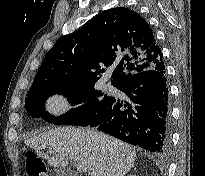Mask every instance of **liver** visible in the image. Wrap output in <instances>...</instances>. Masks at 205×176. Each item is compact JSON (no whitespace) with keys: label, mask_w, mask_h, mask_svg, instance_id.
Segmentation results:
<instances>
[{"label":"liver","mask_w":205,"mask_h":176,"mask_svg":"<svg viewBox=\"0 0 205 176\" xmlns=\"http://www.w3.org/2000/svg\"><path fill=\"white\" fill-rule=\"evenodd\" d=\"M38 156L54 167L66 168L68 161L89 169L90 176H125L134 166L136 151L128 144L102 132L58 127L25 140ZM49 148L55 156L42 152Z\"/></svg>","instance_id":"6515ba94"}]
</instances>
